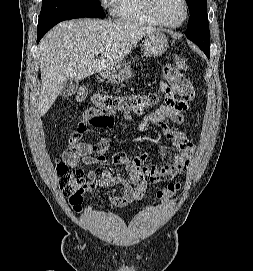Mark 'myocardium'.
Listing matches in <instances>:
<instances>
[{"mask_svg":"<svg viewBox=\"0 0 253 271\" xmlns=\"http://www.w3.org/2000/svg\"><path fill=\"white\" fill-rule=\"evenodd\" d=\"M149 1V8L150 11L152 13V15L154 16V18L163 26L168 27V28H178L180 26H182L186 20L189 17V4L187 0H182L183 4H184V9H185V14L183 19L177 23V24H171L169 22H167L163 16L160 13L159 10V0H148Z\"/></svg>","mask_w":253,"mask_h":271,"instance_id":"obj_1","label":"myocardium"}]
</instances>
